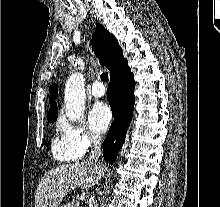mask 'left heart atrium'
Listing matches in <instances>:
<instances>
[{"label":"left heart atrium","mask_w":220,"mask_h":207,"mask_svg":"<svg viewBox=\"0 0 220 207\" xmlns=\"http://www.w3.org/2000/svg\"><path fill=\"white\" fill-rule=\"evenodd\" d=\"M90 129L97 134L104 133L111 122L112 113L110 108L104 103H96L89 113Z\"/></svg>","instance_id":"39dd6f15"}]
</instances>
